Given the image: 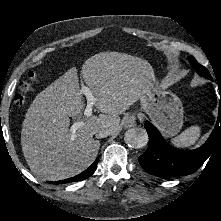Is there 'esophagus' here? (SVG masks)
<instances>
[{
  "label": "esophagus",
  "instance_id": "obj_1",
  "mask_svg": "<svg viewBox=\"0 0 221 221\" xmlns=\"http://www.w3.org/2000/svg\"><path fill=\"white\" fill-rule=\"evenodd\" d=\"M135 120H136L135 114H130V115L126 116L123 120L124 127L125 128L133 127L136 122Z\"/></svg>",
  "mask_w": 221,
  "mask_h": 221
}]
</instances>
